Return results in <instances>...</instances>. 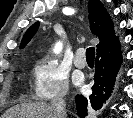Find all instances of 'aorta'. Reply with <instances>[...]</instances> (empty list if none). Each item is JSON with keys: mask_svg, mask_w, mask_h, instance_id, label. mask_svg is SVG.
<instances>
[{"mask_svg": "<svg viewBox=\"0 0 133 118\" xmlns=\"http://www.w3.org/2000/svg\"><path fill=\"white\" fill-rule=\"evenodd\" d=\"M61 48H62V44L59 43V44L57 45V52H59V51L61 50Z\"/></svg>", "mask_w": 133, "mask_h": 118, "instance_id": "aorta-1", "label": "aorta"}]
</instances>
